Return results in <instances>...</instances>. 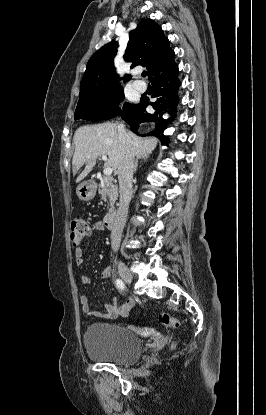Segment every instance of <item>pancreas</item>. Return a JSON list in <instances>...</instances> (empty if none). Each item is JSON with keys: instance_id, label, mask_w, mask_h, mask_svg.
Returning <instances> with one entry per match:
<instances>
[{"instance_id": "cf45deb5", "label": "pancreas", "mask_w": 266, "mask_h": 415, "mask_svg": "<svg viewBox=\"0 0 266 415\" xmlns=\"http://www.w3.org/2000/svg\"><path fill=\"white\" fill-rule=\"evenodd\" d=\"M98 193L104 201L108 200L107 209L109 213H114V204L118 198V188L113 184V178L105 176L100 180Z\"/></svg>"}]
</instances>
